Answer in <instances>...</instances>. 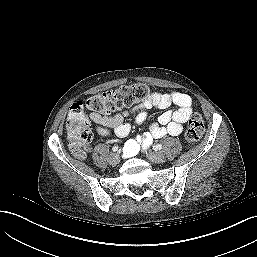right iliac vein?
Wrapping results in <instances>:
<instances>
[{
	"label": "right iliac vein",
	"instance_id": "1",
	"mask_svg": "<svg viewBox=\"0 0 257 257\" xmlns=\"http://www.w3.org/2000/svg\"><path fill=\"white\" fill-rule=\"evenodd\" d=\"M110 162L116 164L120 161V156L118 153H112L109 158Z\"/></svg>",
	"mask_w": 257,
	"mask_h": 257
}]
</instances>
